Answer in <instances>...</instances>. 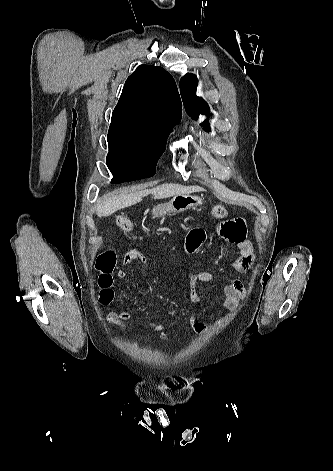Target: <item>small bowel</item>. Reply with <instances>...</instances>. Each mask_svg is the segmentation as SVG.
Instances as JSON below:
<instances>
[{
  "label": "small bowel",
  "mask_w": 333,
  "mask_h": 471,
  "mask_svg": "<svg viewBox=\"0 0 333 471\" xmlns=\"http://www.w3.org/2000/svg\"><path fill=\"white\" fill-rule=\"evenodd\" d=\"M218 234L226 241L232 243L237 248V257L232 262L231 266L236 273L246 272L255 262L254 248L250 240L247 239L246 219L244 217H232L224 220L218 225ZM206 232L202 228L192 229L186 238V249L189 252L195 251L206 240ZM138 260L141 263L147 262V257L137 249H131L124 255L122 259L123 265H128L131 262ZM120 279L126 277V273L122 270L117 272ZM190 279V297L193 301L198 300L196 285L198 283H207L219 279L218 274L210 271H200L189 275ZM223 300L222 304L227 309L236 307L241 301L246 300L247 290L243 282L234 278L230 282L222 286ZM130 314L126 311H112L107 316V323L115 325L121 330L129 328ZM189 325L193 331L197 333H204L207 331L208 326L194 317H190ZM148 328L152 331L160 333V337L164 340H169L170 336L167 332L168 326L150 322Z\"/></svg>",
  "instance_id": "small-bowel-1"
}]
</instances>
